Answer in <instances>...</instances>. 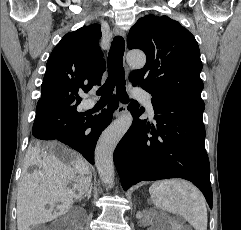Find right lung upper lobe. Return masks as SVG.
Segmentation results:
<instances>
[{
  "instance_id": "cb5924a9",
  "label": "right lung upper lobe",
  "mask_w": 241,
  "mask_h": 230,
  "mask_svg": "<svg viewBox=\"0 0 241 230\" xmlns=\"http://www.w3.org/2000/svg\"><path fill=\"white\" fill-rule=\"evenodd\" d=\"M100 38L101 26L92 24L61 39L47 61L37 106L79 104L83 92L101 84L106 65Z\"/></svg>"
}]
</instances>
